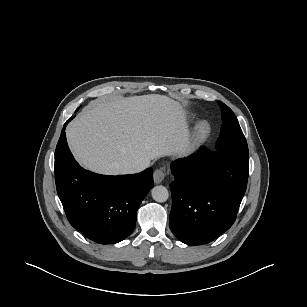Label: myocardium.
Instances as JSON below:
<instances>
[{
  "label": "myocardium",
  "instance_id": "f54148a6",
  "mask_svg": "<svg viewBox=\"0 0 307 307\" xmlns=\"http://www.w3.org/2000/svg\"><path fill=\"white\" fill-rule=\"evenodd\" d=\"M211 134V126L208 122L199 123L191 136L190 145L191 147H199L201 146L210 136Z\"/></svg>",
  "mask_w": 307,
  "mask_h": 307
}]
</instances>
